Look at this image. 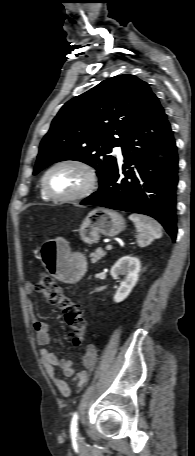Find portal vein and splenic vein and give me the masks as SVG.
I'll list each match as a JSON object with an SVG mask.
<instances>
[{
    "label": "portal vein and splenic vein",
    "instance_id": "obj_1",
    "mask_svg": "<svg viewBox=\"0 0 195 456\" xmlns=\"http://www.w3.org/2000/svg\"><path fill=\"white\" fill-rule=\"evenodd\" d=\"M111 249H112V245L111 244L106 246V250H111Z\"/></svg>",
    "mask_w": 195,
    "mask_h": 456
}]
</instances>
